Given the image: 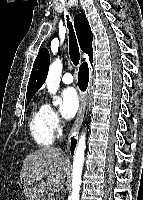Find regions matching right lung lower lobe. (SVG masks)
I'll list each match as a JSON object with an SVG mask.
<instances>
[{
	"label": "right lung lower lobe",
	"instance_id": "1",
	"mask_svg": "<svg viewBox=\"0 0 143 200\" xmlns=\"http://www.w3.org/2000/svg\"><path fill=\"white\" fill-rule=\"evenodd\" d=\"M93 56L89 57V60L92 61ZM88 80H89V70L87 63H83L80 66L79 74H78V85L81 90H85L88 86ZM76 145V140L72 141L71 143V154L74 153V148Z\"/></svg>",
	"mask_w": 143,
	"mask_h": 200
}]
</instances>
